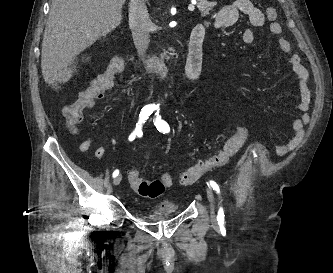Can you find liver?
I'll return each instance as SVG.
<instances>
[{"label":"liver","mask_w":333,"mask_h":273,"mask_svg":"<svg viewBox=\"0 0 333 273\" xmlns=\"http://www.w3.org/2000/svg\"><path fill=\"white\" fill-rule=\"evenodd\" d=\"M125 0H52L44 31L41 69L52 87L73 75L74 60L122 21Z\"/></svg>","instance_id":"liver-1"}]
</instances>
